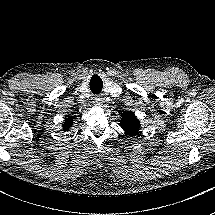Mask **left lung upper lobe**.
I'll return each instance as SVG.
<instances>
[{"label": "left lung upper lobe", "instance_id": "obj_1", "mask_svg": "<svg viewBox=\"0 0 215 215\" xmlns=\"http://www.w3.org/2000/svg\"><path fill=\"white\" fill-rule=\"evenodd\" d=\"M120 125L128 135H137L140 130V122L131 112L122 113Z\"/></svg>", "mask_w": 215, "mask_h": 215}]
</instances>
